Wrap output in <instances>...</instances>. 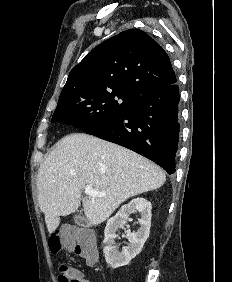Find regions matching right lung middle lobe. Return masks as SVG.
<instances>
[{
	"instance_id": "right-lung-middle-lobe-1",
	"label": "right lung middle lobe",
	"mask_w": 232,
	"mask_h": 282,
	"mask_svg": "<svg viewBox=\"0 0 232 282\" xmlns=\"http://www.w3.org/2000/svg\"><path fill=\"white\" fill-rule=\"evenodd\" d=\"M140 96L127 90L77 95L58 102L52 122L87 129L106 123L133 109Z\"/></svg>"
}]
</instances>
